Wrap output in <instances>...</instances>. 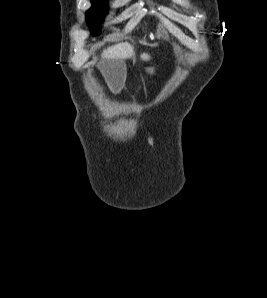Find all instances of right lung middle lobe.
<instances>
[{"label": "right lung middle lobe", "instance_id": "right-lung-middle-lobe-1", "mask_svg": "<svg viewBox=\"0 0 267 298\" xmlns=\"http://www.w3.org/2000/svg\"><path fill=\"white\" fill-rule=\"evenodd\" d=\"M93 7L87 12V21L91 24L92 27H98L103 20L104 12L107 8L106 0H92ZM100 29H96L92 32V35L100 34Z\"/></svg>", "mask_w": 267, "mask_h": 298}]
</instances>
